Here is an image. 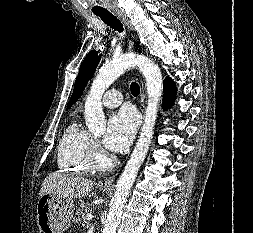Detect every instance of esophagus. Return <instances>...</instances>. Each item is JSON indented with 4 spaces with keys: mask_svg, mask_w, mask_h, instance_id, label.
<instances>
[{
    "mask_svg": "<svg viewBox=\"0 0 253 233\" xmlns=\"http://www.w3.org/2000/svg\"><path fill=\"white\" fill-rule=\"evenodd\" d=\"M115 13L123 20V22H124L125 25L128 27V29H129L130 31H133V27H132L130 21L124 16V14H123L122 12H119V11H118V12H115ZM141 85H142V91H143L144 84H143V81H142V80H141ZM141 100H142V98H141ZM116 176H117V173L114 174V175L111 176V177H107V178L101 180V181L99 182V185H100V186H104V187H110V186H112L113 183H114V180H115Z\"/></svg>",
    "mask_w": 253,
    "mask_h": 233,
    "instance_id": "obj_1",
    "label": "esophagus"
}]
</instances>
